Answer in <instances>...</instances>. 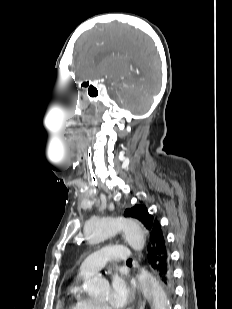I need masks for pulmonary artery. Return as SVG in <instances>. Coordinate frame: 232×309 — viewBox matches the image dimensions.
Masks as SVG:
<instances>
[{"label":"pulmonary artery","mask_w":232,"mask_h":309,"mask_svg":"<svg viewBox=\"0 0 232 309\" xmlns=\"http://www.w3.org/2000/svg\"><path fill=\"white\" fill-rule=\"evenodd\" d=\"M132 253L124 246H106L91 253L80 265L79 275L86 277L99 271L107 261L125 262Z\"/></svg>","instance_id":"pulmonary-artery-1"}]
</instances>
